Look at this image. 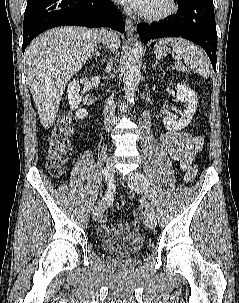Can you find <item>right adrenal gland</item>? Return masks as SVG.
I'll use <instances>...</instances> for the list:
<instances>
[{"instance_id":"obj_1","label":"right adrenal gland","mask_w":239,"mask_h":303,"mask_svg":"<svg viewBox=\"0 0 239 303\" xmlns=\"http://www.w3.org/2000/svg\"><path fill=\"white\" fill-rule=\"evenodd\" d=\"M94 55L96 56V62H97V60L100 58V53H99L97 47H95L94 50L92 51V55H90V59H91L92 56H94Z\"/></svg>"}]
</instances>
